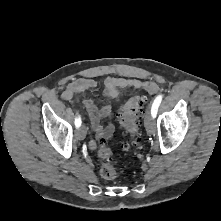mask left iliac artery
I'll list each match as a JSON object with an SVG mask.
<instances>
[{
    "label": "left iliac artery",
    "instance_id": "obj_1",
    "mask_svg": "<svg viewBox=\"0 0 221 221\" xmlns=\"http://www.w3.org/2000/svg\"><path fill=\"white\" fill-rule=\"evenodd\" d=\"M162 98H163V95H162V94L158 95V96L155 98V100H154V102H153V104H152V107H151V115H152L153 118H155L156 115H157L158 107H159L160 104H161Z\"/></svg>",
    "mask_w": 221,
    "mask_h": 221
}]
</instances>
